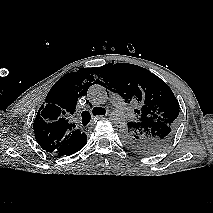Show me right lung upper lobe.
<instances>
[{
    "label": "right lung upper lobe",
    "instance_id": "right-lung-upper-lobe-1",
    "mask_svg": "<svg viewBox=\"0 0 213 213\" xmlns=\"http://www.w3.org/2000/svg\"><path fill=\"white\" fill-rule=\"evenodd\" d=\"M93 73L95 68L68 73L50 89L33 124L36 141L47 152L65 151L85 136L68 119L76 109L78 98L86 94L94 81Z\"/></svg>",
    "mask_w": 213,
    "mask_h": 213
}]
</instances>
